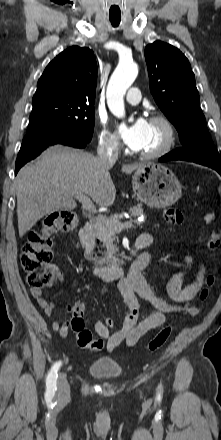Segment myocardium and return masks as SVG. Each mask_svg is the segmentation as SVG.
I'll use <instances>...</instances> for the list:
<instances>
[{
    "mask_svg": "<svg viewBox=\"0 0 221 440\" xmlns=\"http://www.w3.org/2000/svg\"><path fill=\"white\" fill-rule=\"evenodd\" d=\"M150 122L162 126L165 131V139L160 147L151 151H140L139 155L145 159H157L167 155L175 145L176 132L172 122L164 115L156 114L151 117Z\"/></svg>",
    "mask_w": 221,
    "mask_h": 440,
    "instance_id": "obj_1",
    "label": "myocardium"
}]
</instances>
